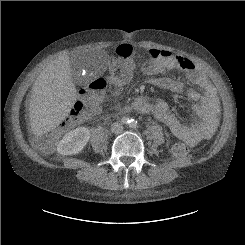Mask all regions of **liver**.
Segmentation results:
<instances>
[{
  "label": "liver",
  "instance_id": "6515ba94",
  "mask_svg": "<svg viewBox=\"0 0 245 245\" xmlns=\"http://www.w3.org/2000/svg\"><path fill=\"white\" fill-rule=\"evenodd\" d=\"M76 101L70 59L53 60L35 80L29 104L32 133L41 136L64 121Z\"/></svg>",
  "mask_w": 245,
  "mask_h": 245
}]
</instances>
